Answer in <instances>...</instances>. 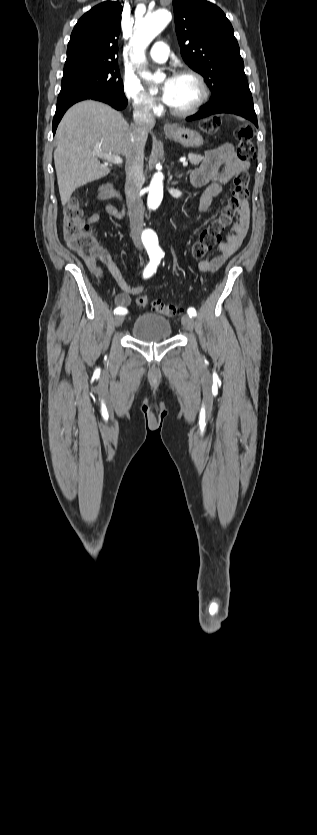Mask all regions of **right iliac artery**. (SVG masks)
Masks as SVG:
<instances>
[{
    "instance_id": "right-iliac-artery-1",
    "label": "right iliac artery",
    "mask_w": 317,
    "mask_h": 835,
    "mask_svg": "<svg viewBox=\"0 0 317 835\" xmlns=\"http://www.w3.org/2000/svg\"><path fill=\"white\" fill-rule=\"evenodd\" d=\"M159 262H160V259L157 258V257L150 258V262L148 263V265L144 269L143 277L144 278L151 277L156 272V269H157V266H158ZM114 313L124 315V314H127V309H124L122 307H117L114 310Z\"/></svg>"
}]
</instances>
